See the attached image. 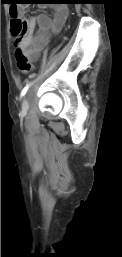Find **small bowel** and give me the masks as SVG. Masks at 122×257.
I'll list each match as a JSON object with an SVG mask.
<instances>
[{
    "label": "small bowel",
    "instance_id": "c3829d8e",
    "mask_svg": "<svg viewBox=\"0 0 122 257\" xmlns=\"http://www.w3.org/2000/svg\"><path fill=\"white\" fill-rule=\"evenodd\" d=\"M22 12V10H21ZM68 15L65 7H56L53 19L46 14L30 17L26 23L27 28L23 37L16 42L28 59H35L47 46L51 33L58 32L63 26ZM38 28L35 34V29Z\"/></svg>",
    "mask_w": 122,
    "mask_h": 257
}]
</instances>
